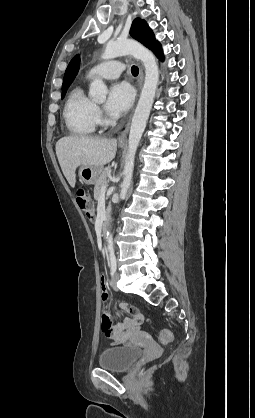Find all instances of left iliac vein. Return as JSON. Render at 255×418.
<instances>
[{
    "mask_svg": "<svg viewBox=\"0 0 255 418\" xmlns=\"http://www.w3.org/2000/svg\"><path fill=\"white\" fill-rule=\"evenodd\" d=\"M118 279H119V273H116V274L113 276L112 281H111V286H112V288H113L115 291H118V287H117V281H118Z\"/></svg>",
    "mask_w": 255,
    "mask_h": 418,
    "instance_id": "left-iliac-vein-1",
    "label": "left iliac vein"
}]
</instances>
